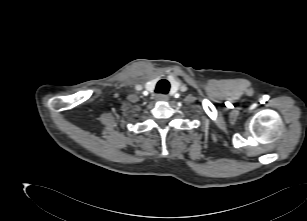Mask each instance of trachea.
Listing matches in <instances>:
<instances>
[{"instance_id": "obj_1", "label": "trachea", "mask_w": 307, "mask_h": 221, "mask_svg": "<svg viewBox=\"0 0 307 221\" xmlns=\"http://www.w3.org/2000/svg\"><path fill=\"white\" fill-rule=\"evenodd\" d=\"M169 89L170 83L166 79H162L157 83L155 92L160 94H167Z\"/></svg>"}]
</instances>
